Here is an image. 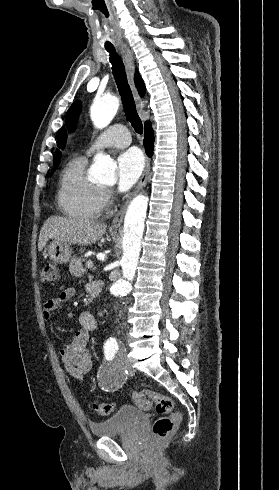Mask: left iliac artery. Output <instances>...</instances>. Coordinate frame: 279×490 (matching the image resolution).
<instances>
[{"mask_svg":"<svg viewBox=\"0 0 279 490\" xmlns=\"http://www.w3.org/2000/svg\"><path fill=\"white\" fill-rule=\"evenodd\" d=\"M118 349L117 343L110 342L106 347H105V353L108 354H114Z\"/></svg>","mask_w":279,"mask_h":490,"instance_id":"obj_1","label":"left iliac artery"}]
</instances>
